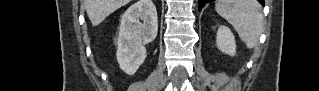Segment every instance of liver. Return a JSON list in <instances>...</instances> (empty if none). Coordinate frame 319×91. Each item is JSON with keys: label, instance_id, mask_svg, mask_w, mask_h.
Wrapping results in <instances>:
<instances>
[{"label": "liver", "instance_id": "6515ba94", "mask_svg": "<svg viewBox=\"0 0 319 91\" xmlns=\"http://www.w3.org/2000/svg\"><path fill=\"white\" fill-rule=\"evenodd\" d=\"M129 2L130 0H84V7L92 25L97 26Z\"/></svg>", "mask_w": 319, "mask_h": 91}]
</instances>
